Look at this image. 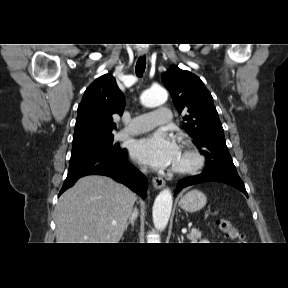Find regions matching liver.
<instances>
[{
	"label": "liver",
	"mask_w": 288,
	"mask_h": 288,
	"mask_svg": "<svg viewBox=\"0 0 288 288\" xmlns=\"http://www.w3.org/2000/svg\"><path fill=\"white\" fill-rule=\"evenodd\" d=\"M136 194L105 176L80 178L56 206L57 243H118Z\"/></svg>",
	"instance_id": "1"
}]
</instances>
